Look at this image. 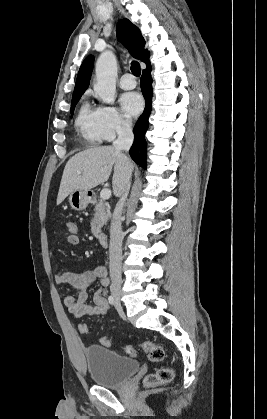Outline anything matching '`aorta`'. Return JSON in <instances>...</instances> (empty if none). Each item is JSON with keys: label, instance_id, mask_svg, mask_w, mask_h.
Returning a JSON list of instances; mask_svg holds the SVG:
<instances>
[{"label": "aorta", "instance_id": "762f6f07", "mask_svg": "<svg viewBox=\"0 0 267 419\" xmlns=\"http://www.w3.org/2000/svg\"><path fill=\"white\" fill-rule=\"evenodd\" d=\"M95 91L104 103L115 102L117 61L110 51L101 53L96 62Z\"/></svg>", "mask_w": 267, "mask_h": 419}]
</instances>
